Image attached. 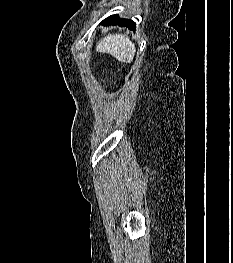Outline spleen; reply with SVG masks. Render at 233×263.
Wrapping results in <instances>:
<instances>
[{"label": "spleen", "instance_id": "obj_1", "mask_svg": "<svg viewBox=\"0 0 233 263\" xmlns=\"http://www.w3.org/2000/svg\"><path fill=\"white\" fill-rule=\"evenodd\" d=\"M96 51L107 53L123 63H131L136 48L130 38L123 34H110L96 45Z\"/></svg>", "mask_w": 233, "mask_h": 263}]
</instances>
